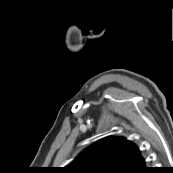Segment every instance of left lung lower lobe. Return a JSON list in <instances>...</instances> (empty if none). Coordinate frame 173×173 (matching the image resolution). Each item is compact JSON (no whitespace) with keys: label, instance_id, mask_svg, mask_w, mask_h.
<instances>
[{"label":"left lung lower lobe","instance_id":"left-lung-lower-lobe-1","mask_svg":"<svg viewBox=\"0 0 173 173\" xmlns=\"http://www.w3.org/2000/svg\"><path fill=\"white\" fill-rule=\"evenodd\" d=\"M151 172H152V171L150 170V168L147 167V168L144 169L143 172H141V173H151Z\"/></svg>","mask_w":173,"mask_h":173}]
</instances>
